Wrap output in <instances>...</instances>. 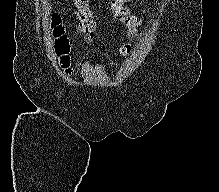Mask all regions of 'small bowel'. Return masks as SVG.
I'll return each mask as SVG.
<instances>
[{
  "label": "small bowel",
  "mask_w": 219,
  "mask_h": 192,
  "mask_svg": "<svg viewBox=\"0 0 219 192\" xmlns=\"http://www.w3.org/2000/svg\"><path fill=\"white\" fill-rule=\"evenodd\" d=\"M133 0H112L111 2V10L115 16V18L122 22L129 31L130 36H135L137 33V28L141 23V20L138 16H136L133 12L129 10L127 4L132 2ZM76 5V4H75ZM75 15L78 17L80 21V29L86 34V39L90 40L92 36V29L86 30L83 25L84 18L89 19L91 17L90 11L88 7L83 8L79 5H76Z\"/></svg>",
  "instance_id": "small-bowel-1"
}]
</instances>
